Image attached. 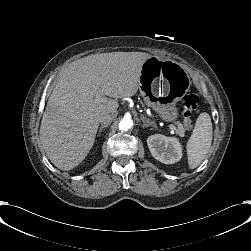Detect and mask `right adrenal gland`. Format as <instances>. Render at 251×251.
Wrapping results in <instances>:
<instances>
[{
	"label": "right adrenal gland",
	"instance_id": "right-adrenal-gland-1",
	"mask_svg": "<svg viewBox=\"0 0 251 251\" xmlns=\"http://www.w3.org/2000/svg\"><path fill=\"white\" fill-rule=\"evenodd\" d=\"M107 125H102L100 128H99V134L97 136H100L101 135V132L104 128H106Z\"/></svg>",
	"mask_w": 251,
	"mask_h": 251
}]
</instances>
